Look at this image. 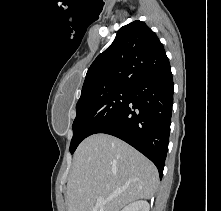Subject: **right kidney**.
<instances>
[{
	"instance_id": "obj_1",
	"label": "right kidney",
	"mask_w": 221,
	"mask_h": 211,
	"mask_svg": "<svg viewBox=\"0 0 221 211\" xmlns=\"http://www.w3.org/2000/svg\"><path fill=\"white\" fill-rule=\"evenodd\" d=\"M121 211H149V204L147 201H135L124 207Z\"/></svg>"
}]
</instances>
